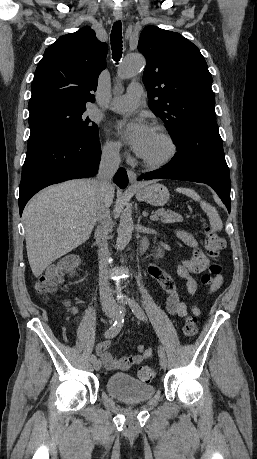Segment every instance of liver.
Here are the masks:
<instances>
[{
  "instance_id": "liver-1",
  "label": "liver",
  "mask_w": 257,
  "mask_h": 459,
  "mask_svg": "<svg viewBox=\"0 0 257 459\" xmlns=\"http://www.w3.org/2000/svg\"><path fill=\"white\" fill-rule=\"evenodd\" d=\"M110 197L112 202L114 190ZM96 198L94 179L71 180L44 189L25 207L27 256L35 277L88 240L96 222Z\"/></svg>"
}]
</instances>
